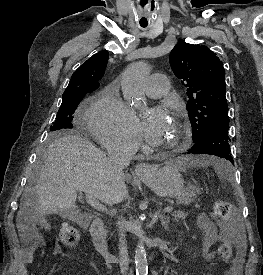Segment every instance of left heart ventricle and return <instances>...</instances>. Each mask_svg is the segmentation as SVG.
Returning a JSON list of instances; mask_svg holds the SVG:
<instances>
[{
	"label": "left heart ventricle",
	"mask_w": 263,
	"mask_h": 275,
	"mask_svg": "<svg viewBox=\"0 0 263 275\" xmlns=\"http://www.w3.org/2000/svg\"><path fill=\"white\" fill-rule=\"evenodd\" d=\"M177 136V129L173 121L169 122L159 140L156 142L158 145L165 146L172 143Z\"/></svg>",
	"instance_id": "left-heart-ventricle-1"
}]
</instances>
